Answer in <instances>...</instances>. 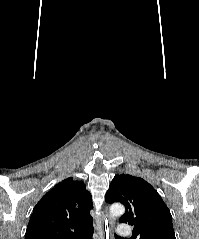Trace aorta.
I'll return each instance as SVG.
<instances>
[{
	"instance_id": "aorta-1",
	"label": "aorta",
	"mask_w": 199,
	"mask_h": 239,
	"mask_svg": "<svg viewBox=\"0 0 199 239\" xmlns=\"http://www.w3.org/2000/svg\"><path fill=\"white\" fill-rule=\"evenodd\" d=\"M124 212L125 208L122 204L115 203L110 207V215L112 218L121 216L122 214H124Z\"/></svg>"
}]
</instances>
